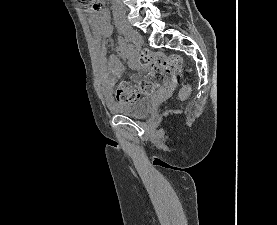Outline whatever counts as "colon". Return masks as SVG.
I'll use <instances>...</instances> for the list:
<instances>
[{
  "mask_svg": "<svg viewBox=\"0 0 277 225\" xmlns=\"http://www.w3.org/2000/svg\"><path fill=\"white\" fill-rule=\"evenodd\" d=\"M83 3L91 12H98L102 8L100 0H78ZM140 67H150L149 73L143 81L135 84L129 81H123L116 89V99L119 102L133 103L141 95L156 93L165 81V74L181 76L183 72V62L179 55H165L162 53H152L144 51L136 61ZM191 88L184 86L181 88L179 97L185 99L189 96Z\"/></svg>",
  "mask_w": 277,
  "mask_h": 225,
  "instance_id": "colon-1",
  "label": "colon"
}]
</instances>
